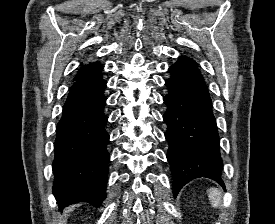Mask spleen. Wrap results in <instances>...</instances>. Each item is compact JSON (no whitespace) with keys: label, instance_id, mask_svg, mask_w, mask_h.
<instances>
[{"label":"spleen","instance_id":"spleen-1","mask_svg":"<svg viewBox=\"0 0 275 224\" xmlns=\"http://www.w3.org/2000/svg\"><path fill=\"white\" fill-rule=\"evenodd\" d=\"M208 197L212 207L218 208L221 205V192L216 188H211L208 191Z\"/></svg>","mask_w":275,"mask_h":224}]
</instances>
